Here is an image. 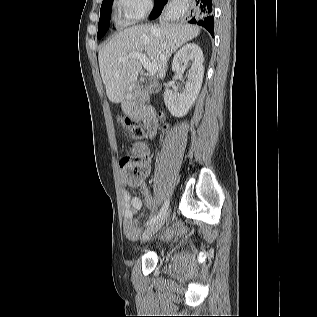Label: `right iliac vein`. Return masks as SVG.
<instances>
[{"mask_svg": "<svg viewBox=\"0 0 317 317\" xmlns=\"http://www.w3.org/2000/svg\"><path fill=\"white\" fill-rule=\"evenodd\" d=\"M167 218H168V213H166L161 219H159L158 221L150 225L142 234V241L148 240L155 233H157V231L160 230L161 227L165 224Z\"/></svg>", "mask_w": 317, "mask_h": 317, "instance_id": "obj_1", "label": "right iliac vein"}]
</instances>
